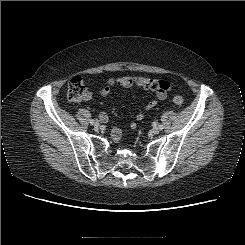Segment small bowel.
Segmentation results:
<instances>
[{
    "label": "small bowel",
    "instance_id": "obj_1",
    "mask_svg": "<svg viewBox=\"0 0 245 245\" xmlns=\"http://www.w3.org/2000/svg\"><path fill=\"white\" fill-rule=\"evenodd\" d=\"M100 94L101 96L103 97H107L111 94V90L109 87H103L101 90H100ZM167 94H160V93H157V98L158 100H164L166 98ZM91 95L89 93L86 94L85 96V99L88 100L90 99ZM157 105V101L156 100H153V101H150L148 102L145 107L143 108V110H141L140 112H138V114L136 115V120L137 121H141L145 118L147 112L149 110H151L152 108H154L155 106ZM100 119L102 121H107L108 120V116L106 113H101L100 114ZM130 128L132 129H135L137 127V122L136 121H131L130 124H129ZM113 137V140H118V133H114L112 135Z\"/></svg>",
    "mask_w": 245,
    "mask_h": 245
}]
</instances>
